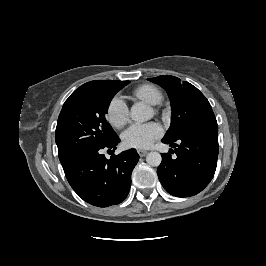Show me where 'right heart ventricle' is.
Returning <instances> with one entry per match:
<instances>
[{
  "instance_id": "right-heart-ventricle-1",
  "label": "right heart ventricle",
  "mask_w": 266,
  "mask_h": 266,
  "mask_svg": "<svg viewBox=\"0 0 266 266\" xmlns=\"http://www.w3.org/2000/svg\"><path fill=\"white\" fill-rule=\"evenodd\" d=\"M133 95L151 105H157L163 100L161 90L152 84H143L133 91Z\"/></svg>"
}]
</instances>
